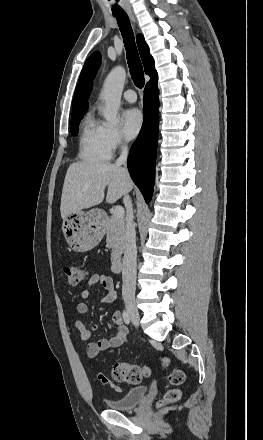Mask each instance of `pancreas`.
Returning <instances> with one entry per match:
<instances>
[{
  "label": "pancreas",
  "instance_id": "1",
  "mask_svg": "<svg viewBox=\"0 0 263 440\" xmlns=\"http://www.w3.org/2000/svg\"><path fill=\"white\" fill-rule=\"evenodd\" d=\"M106 233V242L112 249L111 262L112 264H115L120 261L124 248V218H117L112 215L107 222Z\"/></svg>",
  "mask_w": 263,
  "mask_h": 440
}]
</instances>
